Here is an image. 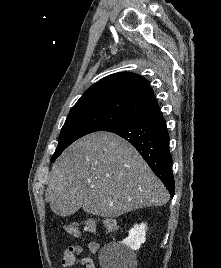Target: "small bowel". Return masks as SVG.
<instances>
[{
  "label": "small bowel",
  "instance_id": "c3829d8e",
  "mask_svg": "<svg viewBox=\"0 0 221 268\" xmlns=\"http://www.w3.org/2000/svg\"><path fill=\"white\" fill-rule=\"evenodd\" d=\"M99 244L95 241H90L86 248L79 244L70 245L61 257V265L63 268L72 266H81L83 268H96L93 260V255L98 251ZM86 253L82 255V253Z\"/></svg>",
  "mask_w": 221,
  "mask_h": 268
}]
</instances>
